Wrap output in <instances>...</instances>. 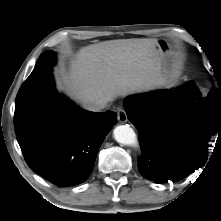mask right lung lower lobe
<instances>
[{"label":"right lung lower lobe","instance_id":"right-lung-lower-lobe-1","mask_svg":"<svg viewBox=\"0 0 221 221\" xmlns=\"http://www.w3.org/2000/svg\"><path fill=\"white\" fill-rule=\"evenodd\" d=\"M40 91L31 116L15 125V133L29 167L60 187L83 183L98 150L117 122L113 111L94 113L75 106L54 90L50 72L33 71L16 99Z\"/></svg>","mask_w":221,"mask_h":221}]
</instances>
